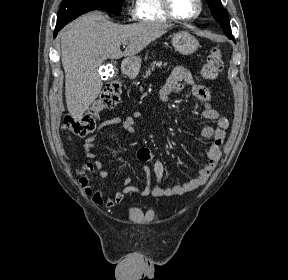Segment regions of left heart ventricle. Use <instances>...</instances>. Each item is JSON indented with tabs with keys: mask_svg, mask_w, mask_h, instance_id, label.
<instances>
[{
	"mask_svg": "<svg viewBox=\"0 0 288 280\" xmlns=\"http://www.w3.org/2000/svg\"><path fill=\"white\" fill-rule=\"evenodd\" d=\"M174 13L181 18H188L197 11V0H171Z\"/></svg>",
	"mask_w": 288,
	"mask_h": 280,
	"instance_id": "b2bd125f",
	"label": "left heart ventricle"
}]
</instances>
